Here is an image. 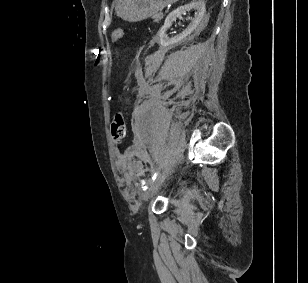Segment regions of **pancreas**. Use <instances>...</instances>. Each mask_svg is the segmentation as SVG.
I'll return each mask as SVG.
<instances>
[{
	"label": "pancreas",
	"mask_w": 308,
	"mask_h": 283,
	"mask_svg": "<svg viewBox=\"0 0 308 283\" xmlns=\"http://www.w3.org/2000/svg\"><path fill=\"white\" fill-rule=\"evenodd\" d=\"M163 14L162 13H158L156 15H154L152 18L154 19V21L159 22L161 19H163Z\"/></svg>",
	"instance_id": "cf45deb5"
}]
</instances>
